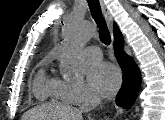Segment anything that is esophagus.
<instances>
[{
  "label": "esophagus",
  "instance_id": "esophagus-1",
  "mask_svg": "<svg viewBox=\"0 0 165 120\" xmlns=\"http://www.w3.org/2000/svg\"><path fill=\"white\" fill-rule=\"evenodd\" d=\"M100 5H101V8H102L103 14L106 18V21L108 23V26H109L110 30L112 31V25H113L112 16H111L109 10L107 9V7H106L103 0H100Z\"/></svg>",
  "mask_w": 165,
  "mask_h": 120
}]
</instances>
